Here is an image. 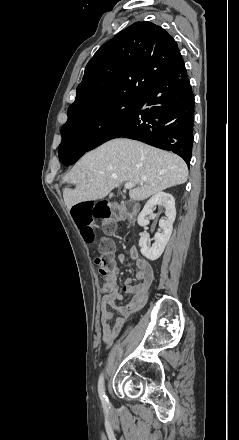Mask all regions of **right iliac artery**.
I'll return each instance as SVG.
<instances>
[{"instance_id":"right-iliac-artery-1","label":"right iliac artery","mask_w":239,"mask_h":440,"mask_svg":"<svg viewBox=\"0 0 239 440\" xmlns=\"http://www.w3.org/2000/svg\"><path fill=\"white\" fill-rule=\"evenodd\" d=\"M98 392H99V396H100V399H101L103 407L105 409L110 408V403L108 401V398L105 395V387H104V377H103V374H101V376L99 378Z\"/></svg>"}]
</instances>
